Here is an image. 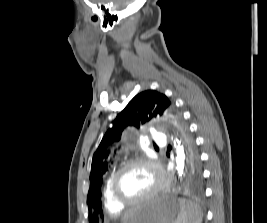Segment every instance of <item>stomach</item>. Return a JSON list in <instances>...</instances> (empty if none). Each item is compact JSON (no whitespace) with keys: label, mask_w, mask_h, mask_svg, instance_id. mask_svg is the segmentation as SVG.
Returning <instances> with one entry per match:
<instances>
[{"label":"stomach","mask_w":267,"mask_h":223,"mask_svg":"<svg viewBox=\"0 0 267 223\" xmlns=\"http://www.w3.org/2000/svg\"><path fill=\"white\" fill-rule=\"evenodd\" d=\"M178 212L177 200L170 194H161L132 209L124 223H176Z\"/></svg>","instance_id":"1"}]
</instances>
